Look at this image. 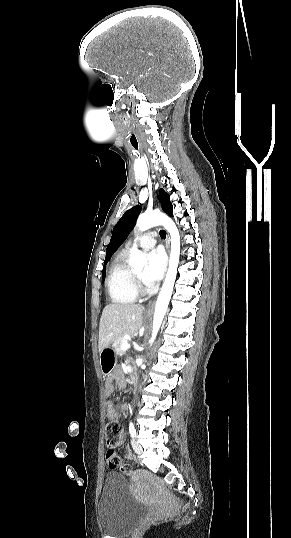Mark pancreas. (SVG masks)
I'll use <instances>...</instances> for the list:
<instances>
[{
  "label": "pancreas",
  "mask_w": 291,
  "mask_h": 538,
  "mask_svg": "<svg viewBox=\"0 0 291 538\" xmlns=\"http://www.w3.org/2000/svg\"><path fill=\"white\" fill-rule=\"evenodd\" d=\"M123 342H127V340L125 338H119L113 344V348L118 355H123L125 353V350L121 348Z\"/></svg>",
  "instance_id": "1"
}]
</instances>
